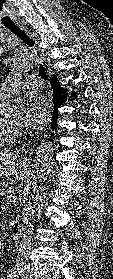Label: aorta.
I'll return each instance as SVG.
<instances>
[{
	"mask_svg": "<svg viewBox=\"0 0 113 279\" xmlns=\"http://www.w3.org/2000/svg\"><path fill=\"white\" fill-rule=\"evenodd\" d=\"M31 65V59L27 55H18L15 57L12 67L15 71H22L26 69L27 67H30ZM21 106V100L16 99L13 103V109L14 111H19ZM53 150L51 146L47 143L41 144V146L38 149L37 153V161H36V178L38 181L45 180L53 167Z\"/></svg>",
	"mask_w": 113,
	"mask_h": 279,
	"instance_id": "obj_1",
	"label": "aorta"
}]
</instances>
